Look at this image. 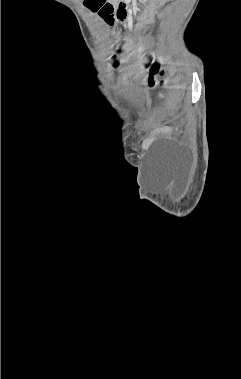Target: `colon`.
Wrapping results in <instances>:
<instances>
[{"instance_id": "1", "label": "colon", "mask_w": 241, "mask_h": 379, "mask_svg": "<svg viewBox=\"0 0 241 379\" xmlns=\"http://www.w3.org/2000/svg\"><path fill=\"white\" fill-rule=\"evenodd\" d=\"M85 5L92 12L98 14L100 17L108 19L112 13V6L106 0H85ZM158 72V67L155 64L152 68V76ZM151 83L153 79L151 78Z\"/></svg>"}]
</instances>
